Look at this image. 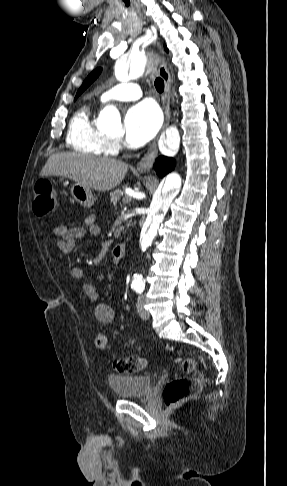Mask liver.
I'll use <instances>...</instances> for the list:
<instances>
[{
  "label": "liver",
  "instance_id": "obj_1",
  "mask_svg": "<svg viewBox=\"0 0 287 486\" xmlns=\"http://www.w3.org/2000/svg\"><path fill=\"white\" fill-rule=\"evenodd\" d=\"M128 164L120 160L96 158L75 152L51 155L40 176H60L98 191H108L124 179Z\"/></svg>",
  "mask_w": 287,
  "mask_h": 486
}]
</instances>
